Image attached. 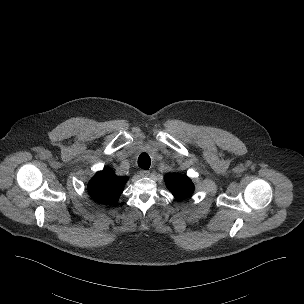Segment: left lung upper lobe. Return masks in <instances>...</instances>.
Instances as JSON below:
<instances>
[{
    "instance_id": "obj_1",
    "label": "left lung upper lobe",
    "mask_w": 304,
    "mask_h": 304,
    "mask_svg": "<svg viewBox=\"0 0 304 304\" xmlns=\"http://www.w3.org/2000/svg\"><path fill=\"white\" fill-rule=\"evenodd\" d=\"M167 188L178 199L189 197L194 191V184L186 177L179 174H167L165 176Z\"/></svg>"
}]
</instances>
